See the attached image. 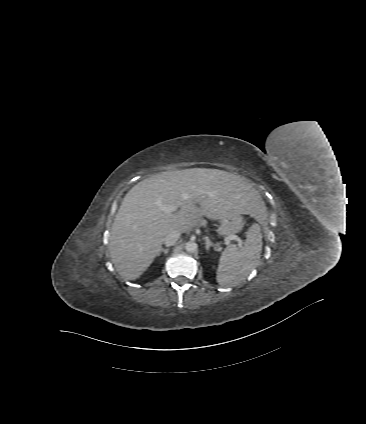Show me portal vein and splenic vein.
I'll return each mask as SVG.
<instances>
[{
    "label": "portal vein and splenic vein",
    "instance_id": "portal-vein-and-splenic-vein-1",
    "mask_svg": "<svg viewBox=\"0 0 366 424\" xmlns=\"http://www.w3.org/2000/svg\"><path fill=\"white\" fill-rule=\"evenodd\" d=\"M161 209L166 213V214H171V213H173V212H175L176 210H177V208L176 207H173V206H161ZM230 240H235V241H237V243L239 244V245H242L243 244V241L241 240V238L240 237H238L237 235H231V236H229L225 241L226 242H229Z\"/></svg>",
    "mask_w": 366,
    "mask_h": 424
}]
</instances>
